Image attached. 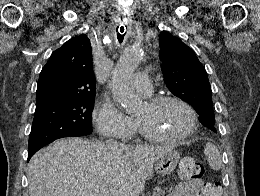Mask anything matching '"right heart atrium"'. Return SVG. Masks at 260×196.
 I'll list each match as a JSON object with an SVG mask.
<instances>
[{
	"label": "right heart atrium",
	"instance_id": "1",
	"mask_svg": "<svg viewBox=\"0 0 260 196\" xmlns=\"http://www.w3.org/2000/svg\"><path fill=\"white\" fill-rule=\"evenodd\" d=\"M94 118L101 134L108 137L118 130H131L135 122L127 116L110 98H104L94 110ZM93 143H112L96 141Z\"/></svg>",
	"mask_w": 260,
	"mask_h": 196
}]
</instances>
